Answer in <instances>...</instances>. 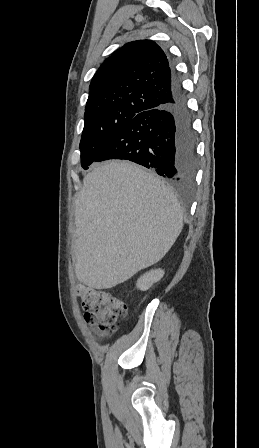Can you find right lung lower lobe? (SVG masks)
I'll list each match as a JSON object with an SVG mask.
<instances>
[{"mask_svg": "<svg viewBox=\"0 0 259 448\" xmlns=\"http://www.w3.org/2000/svg\"><path fill=\"white\" fill-rule=\"evenodd\" d=\"M170 102L131 119L94 162L126 159L147 168L175 185L192 183L197 165L196 135L180 78L170 62Z\"/></svg>", "mask_w": 259, "mask_h": 448, "instance_id": "right-lung-lower-lobe-1", "label": "right lung lower lobe"}]
</instances>
